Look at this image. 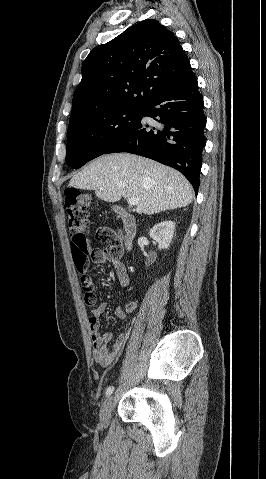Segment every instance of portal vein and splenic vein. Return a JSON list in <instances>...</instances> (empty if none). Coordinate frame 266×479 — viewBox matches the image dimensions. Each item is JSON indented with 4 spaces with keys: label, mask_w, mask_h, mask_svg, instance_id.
Masks as SVG:
<instances>
[{
    "label": "portal vein and splenic vein",
    "mask_w": 266,
    "mask_h": 479,
    "mask_svg": "<svg viewBox=\"0 0 266 479\" xmlns=\"http://www.w3.org/2000/svg\"><path fill=\"white\" fill-rule=\"evenodd\" d=\"M130 205L135 206L138 205L139 199L137 197H131L128 199Z\"/></svg>",
    "instance_id": "18ae733b"
}]
</instances>
